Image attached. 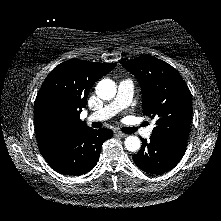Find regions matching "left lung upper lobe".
<instances>
[{
    "label": "left lung upper lobe",
    "instance_id": "5c2ea615",
    "mask_svg": "<svg viewBox=\"0 0 221 221\" xmlns=\"http://www.w3.org/2000/svg\"><path fill=\"white\" fill-rule=\"evenodd\" d=\"M120 63L141 84L142 112L156 120L151 137L185 147L192 116V96L181 75L168 63L151 56Z\"/></svg>",
    "mask_w": 221,
    "mask_h": 221
}]
</instances>
